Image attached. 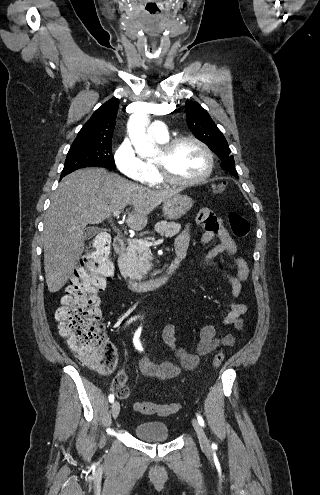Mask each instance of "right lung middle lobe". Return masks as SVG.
<instances>
[{"mask_svg":"<svg viewBox=\"0 0 320 495\" xmlns=\"http://www.w3.org/2000/svg\"><path fill=\"white\" fill-rule=\"evenodd\" d=\"M115 169L112 144H72L67 154L61 177L84 167Z\"/></svg>","mask_w":320,"mask_h":495,"instance_id":"obj_1","label":"right lung middle lobe"}]
</instances>
